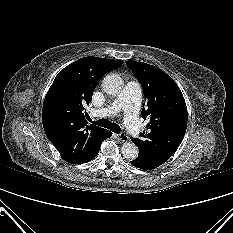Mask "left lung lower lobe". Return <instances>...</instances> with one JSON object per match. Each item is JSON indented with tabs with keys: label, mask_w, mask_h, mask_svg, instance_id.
I'll return each mask as SVG.
<instances>
[{
	"label": "left lung lower lobe",
	"mask_w": 233,
	"mask_h": 233,
	"mask_svg": "<svg viewBox=\"0 0 233 233\" xmlns=\"http://www.w3.org/2000/svg\"><path fill=\"white\" fill-rule=\"evenodd\" d=\"M131 164L137 168L144 169V170H152L160 166V164L151 161L143 157L142 155L138 154V157L131 161Z\"/></svg>",
	"instance_id": "obj_1"
}]
</instances>
